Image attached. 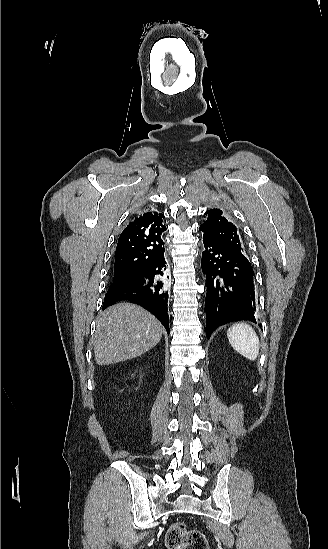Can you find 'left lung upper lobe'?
I'll list each match as a JSON object with an SVG mask.
<instances>
[{
    "label": "left lung upper lobe",
    "mask_w": 328,
    "mask_h": 549,
    "mask_svg": "<svg viewBox=\"0 0 328 549\" xmlns=\"http://www.w3.org/2000/svg\"><path fill=\"white\" fill-rule=\"evenodd\" d=\"M207 220L199 227L203 236L243 254L237 227L224 217L222 210L212 209L205 213Z\"/></svg>",
    "instance_id": "obj_1"
}]
</instances>
